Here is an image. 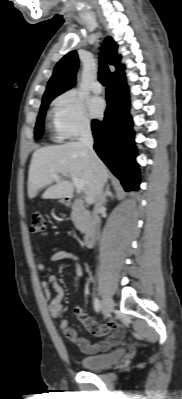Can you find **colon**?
Here are the masks:
<instances>
[{
	"label": "colon",
	"mask_w": 182,
	"mask_h": 399,
	"mask_svg": "<svg viewBox=\"0 0 182 399\" xmlns=\"http://www.w3.org/2000/svg\"><path fill=\"white\" fill-rule=\"evenodd\" d=\"M46 230V221L41 213H34L31 217L30 233L41 235Z\"/></svg>",
	"instance_id": "obj_1"
}]
</instances>
